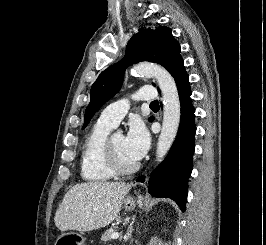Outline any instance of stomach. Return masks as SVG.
Here are the masks:
<instances>
[{
  "instance_id": "stomach-1",
  "label": "stomach",
  "mask_w": 266,
  "mask_h": 245,
  "mask_svg": "<svg viewBox=\"0 0 266 245\" xmlns=\"http://www.w3.org/2000/svg\"><path fill=\"white\" fill-rule=\"evenodd\" d=\"M144 201V197L139 195L137 201L131 199V197H126L123 201L125 211H133L136 205L138 207H142ZM59 242H72L73 245H84L85 239L82 235H77V233H61V237H59Z\"/></svg>"
}]
</instances>
